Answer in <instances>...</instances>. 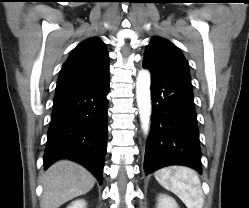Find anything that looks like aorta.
<instances>
[{"label":"aorta","instance_id":"1","mask_svg":"<svg viewBox=\"0 0 249 208\" xmlns=\"http://www.w3.org/2000/svg\"><path fill=\"white\" fill-rule=\"evenodd\" d=\"M136 97L142 129L147 134L151 114L150 73L147 70L140 71L137 76Z\"/></svg>","mask_w":249,"mask_h":208}]
</instances>
